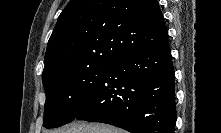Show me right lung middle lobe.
<instances>
[{"label": "right lung middle lobe", "mask_w": 221, "mask_h": 133, "mask_svg": "<svg viewBox=\"0 0 221 133\" xmlns=\"http://www.w3.org/2000/svg\"><path fill=\"white\" fill-rule=\"evenodd\" d=\"M110 67L111 64L71 65L42 76L46 94L43 126L54 128L71 122Z\"/></svg>", "instance_id": "right-lung-middle-lobe-1"}]
</instances>
